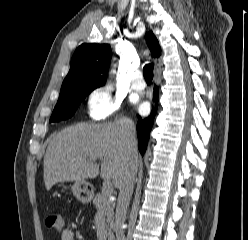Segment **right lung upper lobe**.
<instances>
[{"label":"right lung upper lobe","mask_w":248,"mask_h":240,"mask_svg":"<svg viewBox=\"0 0 248 240\" xmlns=\"http://www.w3.org/2000/svg\"><path fill=\"white\" fill-rule=\"evenodd\" d=\"M146 43L154 57H159L161 48L155 35L146 36ZM109 44L83 43L74 52L70 71L61 87L66 90L72 87L97 88L104 84L111 60Z\"/></svg>","instance_id":"cb5924a9"}]
</instances>
